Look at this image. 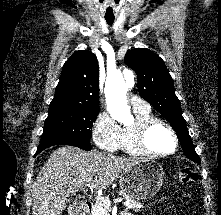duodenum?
<instances>
[{
  "instance_id": "410a0bca",
  "label": "duodenum",
  "mask_w": 221,
  "mask_h": 215,
  "mask_svg": "<svg viewBox=\"0 0 221 215\" xmlns=\"http://www.w3.org/2000/svg\"><path fill=\"white\" fill-rule=\"evenodd\" d=\"M92 208H93L92 202L88 201L83 205L82 209L79 212L75 213L74 215H90ZM121 215H123V213Z\"/></svg>"
}]
</instances>
